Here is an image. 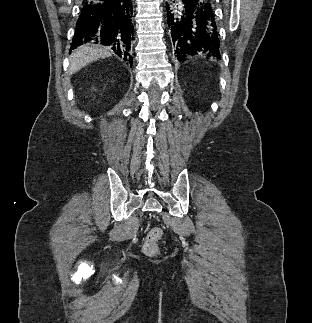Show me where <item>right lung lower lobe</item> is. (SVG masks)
Masks as SVG:
<instances>
[{"label": "right lung lower lobe", "mask_w": 312, "mask_h": 323, "mask_svg": "<svg viewBox=\"0 0 312 323\" xmlns=\"http://www.w3.org/2000/svg\"><path fill=\"white\" fill-rule=\"evenodd\" d=\"M132 15L131 0H83L70 50L87 42L99 43L132 63Z\"/></svg>", "instance_id": "1"}]
</instances>
